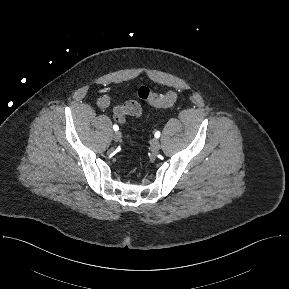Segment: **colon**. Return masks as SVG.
<instances>
[{
    "label": "colon",
    "mask_w": 289,
    "mask_h": 289,
    "mask_svg": "<svg viewBox=\"0 0 289 289\" xmlns=\"http://www.w3.org/2000/svg\"><path fill=\"white\" fill-rule=\"evenodd\" d=\"M138 98L147 101L150 105L158 108H168L174 105L177 100V94L173 91H168L164 94H158L150 91L146 87H140L136 91Z\"/></svg>",
    "instance_id": "colon-1"
}]
</instances>
